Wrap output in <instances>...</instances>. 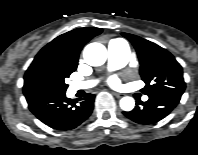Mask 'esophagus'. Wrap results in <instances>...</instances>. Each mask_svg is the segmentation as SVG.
<instances>
[{"mask_svg": "<svg viewBox=\"0 0 198 155\" xmlns=\"http://www.w3.org/2000/svg\"><path fill=\"white\" fill-rule=\"evenodd\" d=\"M112 94H113L115 97H117V98L123 97V94H121V93L112 92Z\"/></svg>", "mask_w": 198, "mask_h": 155, "instance_id": "esophagus-1", "label": "esophagus"}]
</instances>
